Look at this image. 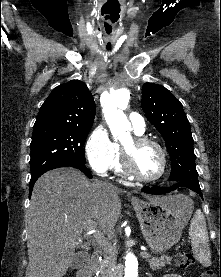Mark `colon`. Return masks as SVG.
<instances>
[{"instance_id": "5ec220e1", "label": "colon", "mask_w": 221, "mask_h": 277, "mask_svg": "<svg viewBox=\"0 0 221 277\" xmlns=\"http://www.w3.org/2000/svg\"><path fill=\"white\" fill-rule=\"evenodd\" d=\"M175 262L178 267L182 269H186L193 265L194 258L190 253L185 251H180L176 254ZM199 277H216V275L213 271L207 270L202 272Z\"/></svg>"}]
</instances>
